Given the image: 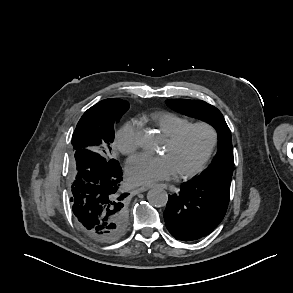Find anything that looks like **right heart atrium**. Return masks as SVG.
Wrapping results in <instances>:
<instances>
[{"label":"right heart atrium","mask_w":293,"mask_h":293,"mask_svg":"<svg viewBox=\"0 0 293 293\" xmlns=\"http://www.w3.org/2000/svg\"><path fill=\"white\" fill-rule=\"evenodd\" d=\"M138 123L130 120L124 123L115 134L114 144L123 155H131L138 148L137 141Z\"/></svg>","instance_id":"obj_1"}]
</instances>
